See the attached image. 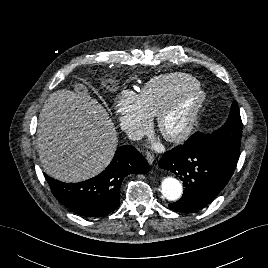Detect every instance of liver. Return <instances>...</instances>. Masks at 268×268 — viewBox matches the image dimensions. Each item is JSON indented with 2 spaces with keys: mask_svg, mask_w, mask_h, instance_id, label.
Returning <instances> with one entry per match:
<instances>
[{
  "mask_svg": "<svg viewBox=\"0 0 268 268\" xmlns=\"http://www.w3.org/2000/svg\"><path fill=\"white\" fill-rule=\"evenodd\" d=\"M62 89L46 100L38 123L37 148L45 172L75 183L92 178L111 162L118 143L106 109L87 94Z\"/></svg>",
  "mask_w": 268,
  "mask_h": 268,
  "instance_id": "6515ba94",
  "label": "liver"
}]
</instances>
